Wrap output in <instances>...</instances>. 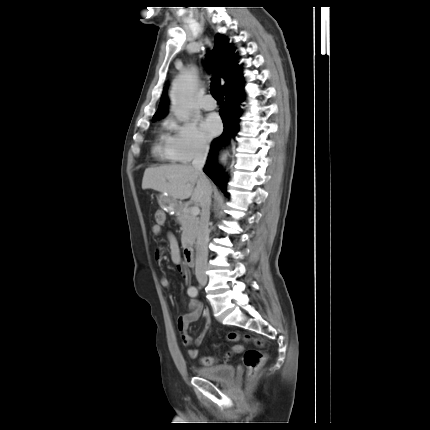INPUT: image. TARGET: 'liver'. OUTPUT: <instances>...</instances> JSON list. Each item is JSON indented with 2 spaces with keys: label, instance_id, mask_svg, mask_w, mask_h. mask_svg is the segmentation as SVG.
<instances>
[{
  "label": "liver",
  "instance_id": "liver-1",
  "mask_svg": "<svg viewBox=\"0 0 430 430\" xmlns=\"http://www.w3.org/2000/svg\"><path fill=\"white\" fill-rule=\"evenodd\" d=\"M196 185V186H195ZM212 190V185L210 184ZM142 189L166 193L173 199H188L201 204L205 187L191 165H160L147 168L142 179Z\"/></svg>",
  "mask_w": 430,
  "mask_h": 430
}]
</instances>
